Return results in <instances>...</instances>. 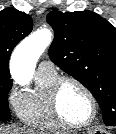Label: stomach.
Masks as SVG:
<instances>
[{"instance_id": "1", "label": "stomach", "mask_w": 116, "mask_h": 134, "mask_svg": "<svg viewBox=\"0 0 116 134\" xmlns=\"http://www.w3.org/2000/svg\"><path fill=\"white\" fill-rule=\"evenodd\" d=\"M88 134H109V133L102 131V130L95 129V130L89 131Z\"/></svg>"}]
</instances>
